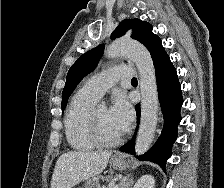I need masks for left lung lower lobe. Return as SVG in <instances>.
<instances>
[{"label": "left lung lower lobe", "mask_w": 224, "mask_h": 188, "mask_svg": "<svg viewBox=\"0 0 224 188\" xmlns=\"http://www.w3.org/2000/svg\"><path fill=\"white\" fill-rule=\"evenodd\" d=\"M158 87V98L164 117V127L155 145L140 160H150L165 169L166 159L171 156L173 142L177 138V124L181 117L179 110L183 104L181 85L177 72L167 55L155 65ZM137 120L140 118V105H136ZM137 131V129H136ZM135 136L131 141L120 148V151L135 154Z\"/></svg>", "instance_id": "obj_1"}]
</instances>
